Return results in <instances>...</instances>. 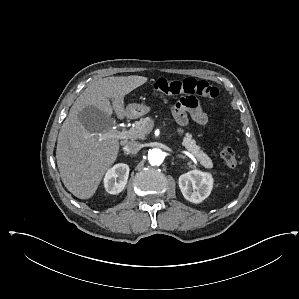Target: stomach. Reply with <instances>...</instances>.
<instances>
[{
    "mask_svg": "<svg viewBox=\"0 0 299 299\" xmlns=\"http://www.w3.org/2000/svg\"><path fill=\"white\" fill-rule=\"evenodd\" d=\"M150 109L151 108L145 104H137V103L129 104L126 108L127 117L131 119L139 118L147 114L150 111Z\"/></svg>",
    "mask_w": 299,
    "mask_h": 299,
    "instance_id": "0dacf381",
    "label": "stomach"
}]
</instances>
